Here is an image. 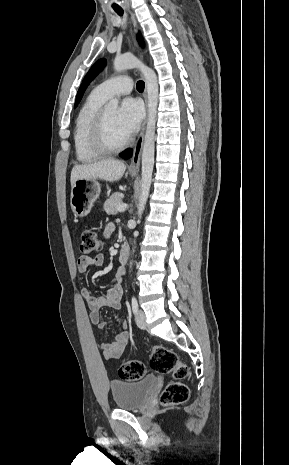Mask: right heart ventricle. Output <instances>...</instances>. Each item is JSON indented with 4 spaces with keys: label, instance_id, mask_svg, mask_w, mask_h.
<instances>
[{
    "label": "right heart ventricle",
    "instance_id": "1",
    "mask_svg": "<svg viewBox=\"0 0 289 465\" xmlns=\"http://www.w3.org/2000/svg\"><path fill=\"white\" fill-rule=\"evenodd\" d=\"M106 100L95 89L89 94L77 113L73 130V142L76 157L80 162H93L104 155L92 145L91 126L95 115L104 106Z\"/></svg>",
    "mask_w": 289,
    "mask_h": 465
}]
</instances>
